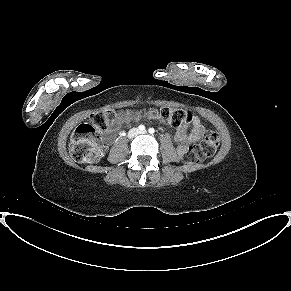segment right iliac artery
<instances>
[{"mask_svg":"<svg viewBox=\"0 0 291 291\" xmlns=\"http://www.w3.org/2000/svg\"><path fill=\"white\" fill-rule=\"evenodd\" d=\"M138 128H139L140 131H144L145 130V126L144 125H139Z\"/></svg>","mask_w":291,"mask_h":291,"instance_id":"right-iliac-artery-1","label":"right iliac artery"}]
</instances>
